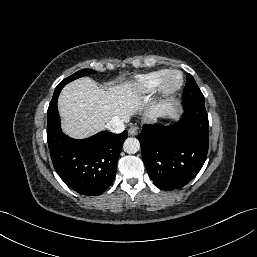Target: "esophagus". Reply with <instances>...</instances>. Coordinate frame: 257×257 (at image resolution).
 I'll list each match as a JSON object with an SVG mask.
<instances>
[{
  "mask_svg": "<svg viewBox=\"0 0 257 257\" xmlns=\"http://www.w3.org/2000/svg\"><path fill=\"white\" fill-rule=\"evenodd\" d=\"M138 131H139L138 126H137V125H132V126L129 128V130H128V134H129L130 136H135V135L138 134Z\"/></svg>",
  "mask_w": 257,
  "mask_h": 257,
  "instance_id": "34e87169",
  "label": "esophagus"
}]
</instances>
